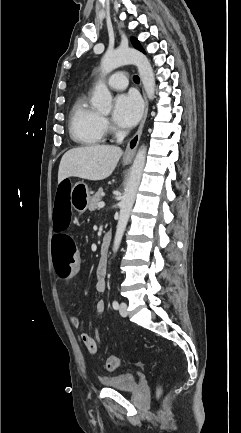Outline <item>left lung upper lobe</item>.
<instances>
[{"label": "left lung upper lobe", "instance_id": "obj_1", "mask_svg": "<svg viewBox=\"0 0 241 433\" xmlns=\"http://www.w3.org/2000/svg\"><path fill=\"white\" fill-rule=\"evenodd\" d=\"M131 41H132L133 46H134L136 49H138V50L142 51L143 53H145L143 47L141 46V44L139 43V41H138L136 38H133V37H132V38H131Z\"/></svg>", "mask_w": 241, "mask_h": 433}]
</instances>
